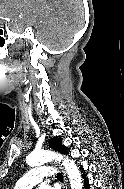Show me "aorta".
Listing matches in <instances>:
<instances>
[{
	"mask_svg": "<svg viewBox=\"0 0 124 189\" xmlns=\"http://www.w3.org/2000/svg\"><path fill=\"white\" fill-rule=\"evenodd\" d=\"M54 159L58 161H62V164L65 167V170L70 180L71 189H82L83 184H82L81 174L75 162L71 159L64 158L62 155L56 154L49 150H41L29 154L26 157V163L29 166H37L40 164L50 162Z\"/></svg>",
	"mask_w": 124,
	"mask_h": 189,
	"instance_id": "aorta-1",
	"label": "aorta"
}]
</instances>
